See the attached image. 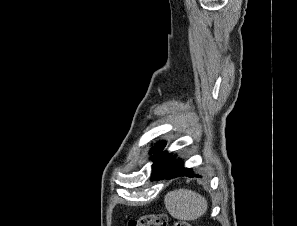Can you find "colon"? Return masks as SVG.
Segmentation results:
<instances>
[{"label":"colon","instance_id":"5ec220e1","mask_svg":"<svg viewBox=\"0 0 297 226\" xmlns=\"http://www.w3.org/2000/svg\"><path fill=\"white\" fill-rule=\"evenodd\" d=\"M169 218L165 214H148L130 219L127 226H168ZM171 226H191L188 221L176 220Z\"/></svg>","mask_w":297,"mask_h":226}]
</instances>
